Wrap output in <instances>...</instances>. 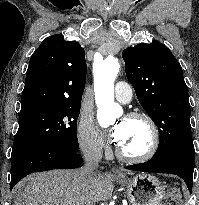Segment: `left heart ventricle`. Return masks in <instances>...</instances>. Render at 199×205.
Returning a JSON list of instances; mask_svg holds the SVG:
<instances>
[{
  "label": "left heart ventricle",
  "instance_id": "1",
  "mask_svg": "<svg viewBox=\"0 0 199 205\" xmlns=\"http://www.w3.org/2000/svg\"><path fill=\"white\" fill-rule=\"evenodd\" d=\"M125 132L119 147L127 154L136 155L144 152L150 141V131L146 123L139 119H122Z\"/></svg>",
  "mask_w": 199,
  "mask_h": 205
}]
</instances>
